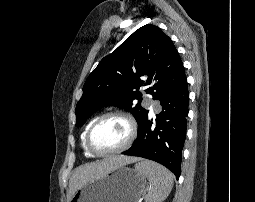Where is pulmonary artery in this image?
<instances>
[{
  "label": "pulmonary artery",
  "mask_w": 255,
  "mask_h": 202,
  "mask_svg": "<svg viewBox=\"0 0 255 202\" xmlns=\"http://www.w3.org/2000/svg\"><path fill=\"white\" fill-rule=\"evenodd\" d=\"M145 105L147 106V108H149L152 112H158L159 111V106L156 104V103H154V102H152V101H147L146 103H145Z\"/></svg>",
  "instance_id": "pulmonary-artery-1"
}]
</instances>
